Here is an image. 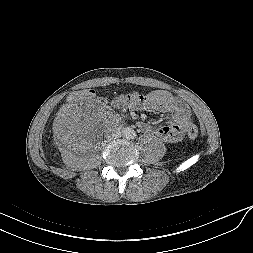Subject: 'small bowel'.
I'll list each match as a JSON object with an SVG mask.
<instances>
[{
  "label": "small bowel",
  "mask_w": 253,
  "mask_h": 253,
  "mask_svg": "<svg viewBox=\"0 0 253 253\" xmlns=\"http://www.w3.org/2000/svg\"><path fill=\"white\" fill-rule=\"evenodd\" d=\"M115 107L136 110H154L171 117V120L157 128L141 122L139 128L145 133H152L158 139L175 143L180 141L191 124V111L188 105L165 90H156L147 94L133 92L121 94L113 101Z\"/></svg>",
  "instance_id": "obj_1"
}]
</instances>
